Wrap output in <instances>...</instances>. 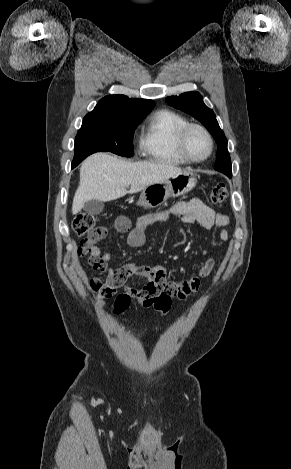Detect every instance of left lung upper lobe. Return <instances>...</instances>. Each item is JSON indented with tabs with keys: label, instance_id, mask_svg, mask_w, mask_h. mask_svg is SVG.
Wrapping results in <instances>:
<instances>
[{
	"label": "left lung upper lobe",
	"instance_id": "1",
	"mask_svg": "<svg viewBox=\"0 0 291 469\" xmlns=\"http://www.w3.org/2000/svg\"><path fill=\"white\" fill-rule=\"evenodd\" d=\"M166 102L169 105L190 114L208 129L218 145L217 159L214 169L231 178L232 168L230 155L227 150V139L224 132L219 127L213 110L204 104L201 94L194 91L186 92L180 96L167 97Z\"/></svg>",
	"mask_w": 291,
	"mask_h": 469
}]
</instances>
